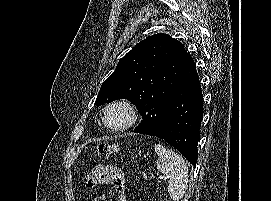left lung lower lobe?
Returning a JSON list of instances; mask_svg holds the SVG:
<instances>
[{"label": "left lung lower lobe", "instance_id": "0a47b994", "mask_svg": "<svg viewBox=\"0 0 271 201\" xmlns=\"http://www.w3.org/2000/svg\"><path fill=\"white\" fill-rule=\"evenodd\" d=\"M202 116L200 81L194 61L187 53L182 80L165 109L162 128L152 136L164 139L196 165ZM134 132L145 134L146 131L139 125Z\"/></svg>", "mask_w": 271, "mask_h": 201}]
</instances>
